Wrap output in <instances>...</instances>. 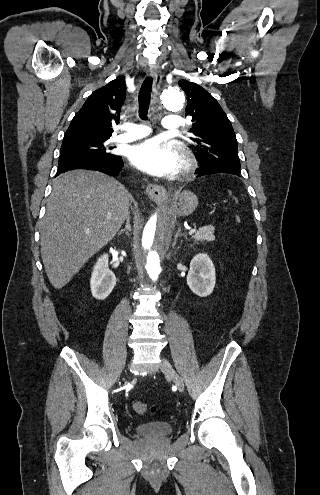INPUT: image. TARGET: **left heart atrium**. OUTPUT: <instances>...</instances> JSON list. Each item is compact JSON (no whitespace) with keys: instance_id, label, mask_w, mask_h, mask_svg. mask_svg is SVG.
<instances>
[{"instance_id":"obj_1","label":"left heart atrium","mask_w":320,"mask_h":495,"mask_svg":"<svg viewBox=\"0 0 320 495\" xmlns=\"http://www.w3.org/2000/svg\"><path fill=\"white\" fill-rule=\"evenodd\" d=\"M132 165L153 176H169L179 168L177 151L156 138L134 145L129 152Z\"/></svg>"}]
</instances>
